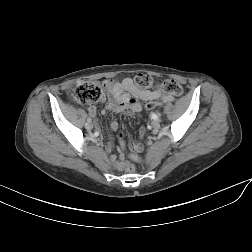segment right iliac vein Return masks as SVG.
Wrapping results in <instances>:
<instances>
[{"mask_svg":"<svg viewBox=\"0 0 252 252\" xmlns=\"http://www.w3.org/2000/svg\"><path fill=\"white\" fill-rule=\"evenodd\" d=\"M85 128H86L87 130L90 131V130L93 128L92 123H88V122H87V123L85 124Z\"/></svg>","mask_w":252,"mask_h":252,"instance_id":"obj_1","label":"right iliac vein"}]
</instances>
